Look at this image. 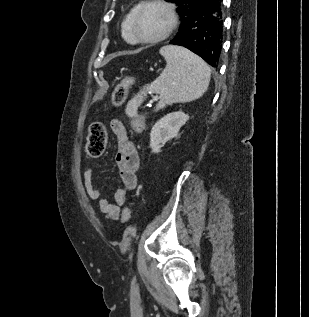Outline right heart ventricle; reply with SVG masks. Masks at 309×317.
Returning <instances> with one entry per match:
<instances>
[{
    "label": "right heart ventricle",
    "instance_id": "e07e8e85",
    "mask_svg": "<svg viewBox=\"0 0 309 317\" xmlns=\"http://www.w3.org/2000/svg\"><path fill=\"white\" fill-rule=\"evenodd\" d=\"M137 7L131 9L122 22V35L123 38L129 43H135L136 39L132 32V17Z\"/></svg>",
    "mask_w": 309,
    "mask_h": 317
}]
</instances>
